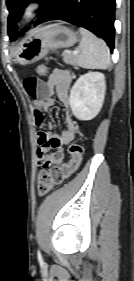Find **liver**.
I'll return each instance as SVG.
<instances>
[{
    "label": "liver",
    "mask_w": 134,
    "mask_h": 281,
    "mask_svg": "<svg viewBox=\"0 0 134 281\" xmlns=\"http://www.w3.org/2000/svg\"><path fill=\"white\" fill-rule=\"evenodd\" d=\"M45 28H47V27H45ZM45 28L37 29V30L33 31L32 34H35V33L39 32V31H41V30H43V29H45Z\"/></svg>",
    "instance_id": "obj_1"
}]
</instances>
